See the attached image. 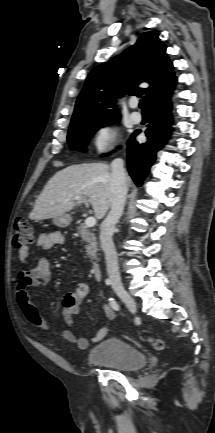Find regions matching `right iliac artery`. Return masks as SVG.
<instances>
[{
	"instance_id": "1",
	"label": "right iliac artery",
	"mask_w": 215,
	"mask_h": 433,
	"mask_svg": "<svg viewBox=\"0 0 215 433\" xmlns=\"http://www.w3.org/2000/svg\"><path fill=\"white\" fill-rule=\"evenodd\" d=\"M109 301H110L111 307L114 310H119L120 309V306L118 305V303L113 298H110Z\"/></svg>"
}]
</instances>
